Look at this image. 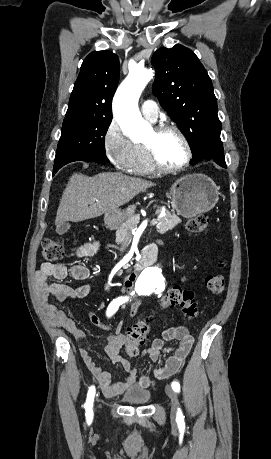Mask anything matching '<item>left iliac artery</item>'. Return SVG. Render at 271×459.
<instances>
[{"label": "left iliac artery", "mask_w": 271, "mask_h": 459, "mask_svg": "<svg viewBox=\"0 0 271 459\" xmlns=\"http://www.w3.org/2000/svg\"><path fill=\"white\" fill-rule=\"evenodd\" d=\"M172 388L175 392L180 391V384L177 381L172 382ZM177 418H183V414L180 408H178Z\"/></svg>", "instance_id": "44dca946"}]
</instances>
